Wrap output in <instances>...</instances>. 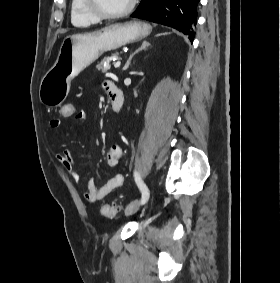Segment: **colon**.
I'll return each mask as SVG.
<instances>
[{"mask_svg":"<svg viewBox=\"0 0 280 283\" xmlns=\"http://www.w3.org/2000/svg\"><path fill=\"white\" fill-rule=\"evenodd\" d=\"M76 112H79V107H76V103H61L60 107V118L61 119H72L76 116ZM118 212L116 206L104 205L102 206L101 213L106 218H114Z\"/></svg>","mask_w":280,"mask_h":283,"instance_id":"5ec220e1","label":"colon"}]
</instances>
